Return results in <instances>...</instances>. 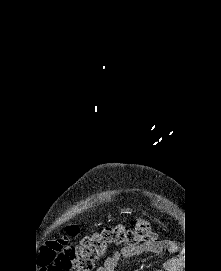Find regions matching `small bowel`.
<instances>
[{
	"label": "small bowel",
	"mask_w": 221,
	"mask_h": 271,
	"mask_svg": "<svg viewBox=\"0 0 221 271\" xmlns=\"http://www.w3.org/2000/svg\"><path fill=\"white\" fill-rule=\"evenodd\" d=\"M172 247L173 244L168 239H155L154 241L134 248L125 246L107 257L104 264L100 266L97 271H115L121 258H132L147 252L161 253L165 250H171ZM174 263V259L168 260L165 263V267L170 270Z\"/></svg>",
	"instance_id": "small-bowel-1"
}]
</instances>
